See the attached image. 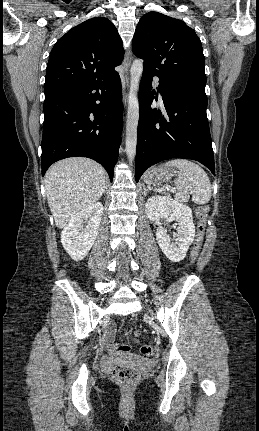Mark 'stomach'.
Segmentation results:
<instances>
[{"mask_svg": "<svg viewBox=\"0 0 259 431\" xmlns=\"http://www.w3.org/2000/svg\"><path fill=\"white\" fill-rule=\"evenodd\" d=\"M173 170L172 168L165 166H157L150 168L145 176L144 181L147 184H158L165 181H168L172 176Z\"/></svg>", "mask_w": 259, "mask_h": 431, "instance_id": "0dacf381", "label": "stomach"}]
</instances>
